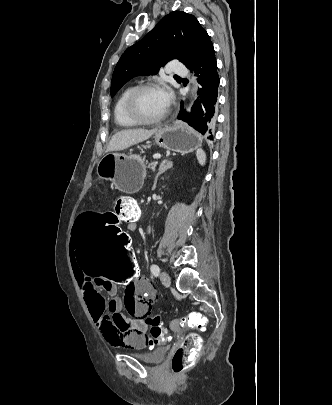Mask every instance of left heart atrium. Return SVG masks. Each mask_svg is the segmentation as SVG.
Masks as SVG:
<instances>
[{
  "mask_svg": "<svg viewBox=\"0 0 332 405\" xmlns=\"http://www.w3.org/2000/svg\"><path fill=\"white\" fill-rule=\"evenodd\" d=\"M161 93H162V96L164 98L166 105L169 106L171 103V99H172L171 92L168 89H161Z\"/></svg>",
  "mask_w": 332,
  "mask_h": 405,
  "instance_id": "39dd6f15",
  "label": "left heart atrium"
}]
</instances>
